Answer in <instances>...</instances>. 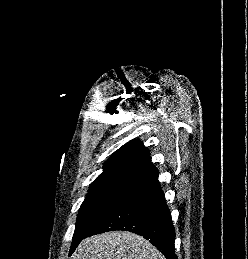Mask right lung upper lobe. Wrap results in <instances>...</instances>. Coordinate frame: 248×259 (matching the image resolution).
Returning <instances> with one entry per match:
<instances>
[{
	"mask_svg": "<svg viewBox=\"0 0 248 259\" xmlns=\"http://www.w3.org/2000/svg\"><path fill=\"white\" fill-rule=\"evenodd\" d=\"M158 173L149 151L139 140H131L118 149L104 165L103 172L92 185L126 183L134 185Z\"/></svg>",
	"mask_w": 248,
	"mask_h": 259,
	"instance_id": "obj_1",
	"label": "right lung upper lobe"
}]
</instances>
